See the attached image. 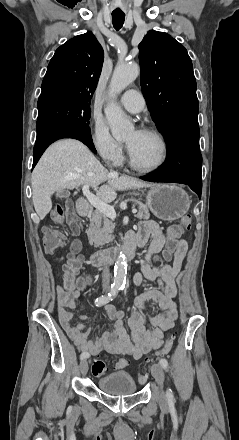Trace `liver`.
Wrapping results in <instances>:
<instances>
[{
    "instance_id": "1",
    "label": "liver",
    "mask_w": 239,
    "mask_h": 440,
    "mask_svg": "<svg viewBox=\"0 0 239 440\" xmlns=\"http://www.w3.org/2000/svg\"><path fill=\"white\" fill-rule=\"evenodd\" d=\"M102 202H113L117 192L153 188L154 184L139 182L136 178L108 172L92 152L78 140H59L47 148L31 176L32 202L40 220H44L52 208L51 196L57 190H74L88 184L97 188Z\"/></svg>"
}]
</instances>
